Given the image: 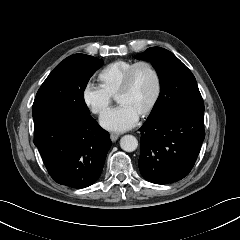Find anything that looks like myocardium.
Wrapping results in <instances>:
<instances>
[{
  "label": "myocardium",
  "instance_id": "f54148a6",
  "mask_svg": "<svg viewBox=\"0 0 240 240\" xmlns=\"http://www.w3.org/2000/svg\"><path fill=\"white\" fill-rule=\"evenodd\" d=\"M141 66L147 67L153 73V75L155 77V81H156L155 94H154L150 104L147 106V108L139 115L141 118H144V117H147L148 115H150L152 113V111L155 109L157 103L159 102V99L161 97L162 90H163V83H162L161 75H160L159 71L157 70V68L150 61H147V60L137 61L128 69V71L126 72L125 77L123 79L121 88L116 96V100L118 101L120 97H122L123 95H125L126 93H128L130 91L134 73H135L136 69Z\"/></svg>",
  "mask_w": 240,
  "mask_h": 240
}]
</instances>
